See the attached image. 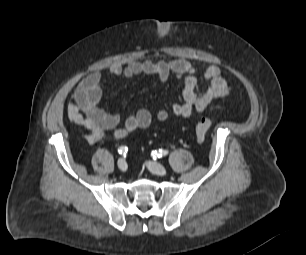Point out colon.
Listing matches in <instances>:
<instances>
[{
  "label": "colon",
  "mask_w": 306,
  "mask_h": 255,
  "mask_svg": "<svg viewBox=\"0 0 306 255\" xmlns=\"http://www.w3.org/2000/svg\"><path fill=\"white\" fill-rule=\"evenodd\" d=\"M212 126V123L207 118H200L197 120L195 124V135L198 139H204V137L207 135L208 131L210 130Z\"/></svg>",
  "instance_id": "5ec220e1"
}]
</instances>
